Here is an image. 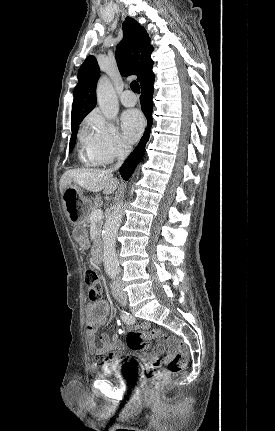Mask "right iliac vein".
I'll list each match as a JSON object with an SVG mask.
<instances>
[{
	"label": "right iliac vein",
	"mask_w": 275,
	"mask_h": 431,
	"mask_svg": "<svg viewBox=\"0 0 275 431\" xmlns=\"http://www.w3.org/2000/svg\"><path fill=\"white\" fill-rule=\"evenodd\" d=\"M117 299H118L120 302H122V303H123V301H124V298H123V296H122V295H118V296H117Z\"/></svg>",
	"instance_id": "obj_1"
}]
</instances>
